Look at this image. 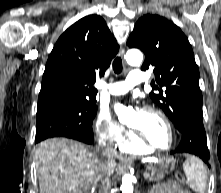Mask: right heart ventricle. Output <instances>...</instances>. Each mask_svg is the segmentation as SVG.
Here are the masks:
<instances>
[{"instance_id":"obj_1","label":"right heart ventricle","mask_w":221,"mask_h":193,"mask_svg":"<svg viewBox=\"0 0 221 193\" xmlns=\"http://www.w3.org/2000/svg\"><path fill=\"white\" fill-rule=\"evenodd\" d=\"M116 148L123 153L142 154L148 152L146 147L141 145L134 137L127 136Z\"/></svg>"}]
</instances>
